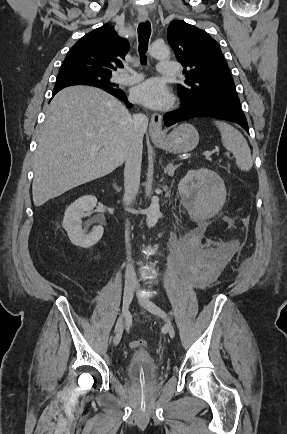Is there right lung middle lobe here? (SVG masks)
Here are the masks:
<instances>
[{
    "label": "right lung middle lobe",
    "instance_id": "right-lung-middle-lobe-1",
    "mask_svg": "<svg viewBox=\"0 0 287 434\" xmlns=\"http://www.w3.org/2000/svg\"><path fill=\"white\" fill-rule=\"evenodd\" d=\"M110 78L111 75H104L86 70H60L56 84L77 82L83 85L99 87L104 90L118 89V85L111 83Z\"/></svg>",
    "mask_w": 287,
    "mask_h": 434
}]
</instances>
